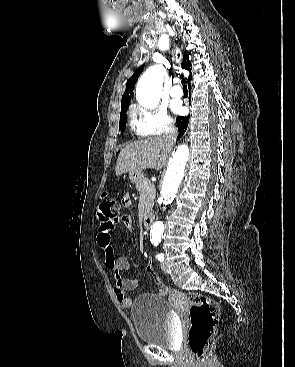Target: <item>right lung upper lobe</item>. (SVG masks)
Here are the masks:
<instances>
[{"label": "right lung upper lobe", "instance_id": "cb5924a9", "mask_svg": "<svg viewBox=\"0 0 295 367\" xmlns=\"http://www.w3.org/2000/svg\"><path fill=\"white\" fill-rule=\"evenodd\" d=\"M182 67L188 71L191 70V61L189 60V52L185 51L184 55H183V62H182ZM144 69V65L140 66L134 73L133 75L129 78V80L126 83V89L125 92L122 96V101H121V106L126 104V103H130L131 100V95L133 93V89L135 86V83L137 81V79L139 78L140 74L142 73ZM192 80V75L190 74L188 78L183 79L184 82H187L188 85H190V81Z\"/></svg>", "mask_w": 295, "mask_h": 367}]
</instances>
